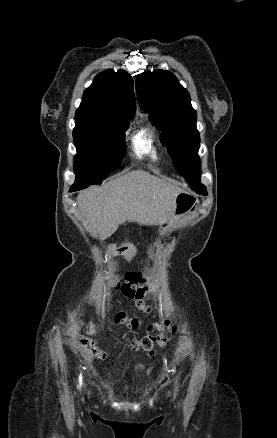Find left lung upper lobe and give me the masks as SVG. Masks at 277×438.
<instances>
[{
  "label": "left lung upper lobe",
  "instance_id": "5c2ea615",
  "mask_svg": "<svg viewBox=\"0 0 277 438\" xmlns=\"http://www.w3.org/2000/svg\"><path fill=\"white\" fill-rule=\"evenodd\" d=\"M136 90L143 111L150 114L152 123L161 131V143L167 147L178 172L196 193L207 195L206 187L200 182L197 114L188 91L165 70L140 74Z\"/></svg>",
  "mask_w": 277,
  "mask_h": 438
}]
</instances>
